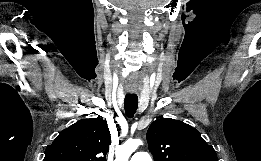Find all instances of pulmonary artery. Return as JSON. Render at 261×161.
Returning a JSON list of instances; mask_svg holds the SVG:
<instances>
[{
	"label": "pulmonary artery",
	"instance_id": "obj_1",
	"mask_svg": "<svg viewBox=\"0 0 261 161\" xmlns=\"http://www.w3.org/2000/svg\"><path fill=\"white\" fill-rule=\"evenodd\" d=\"M130 161H153V160L152 157L146 151L141 150L134 153L131 156Z\"/></svg>",
	"mask_w": 261,
	"mask_h": 161
}]
</instances>
